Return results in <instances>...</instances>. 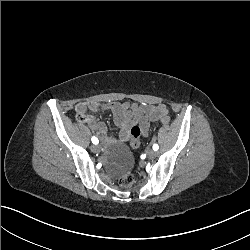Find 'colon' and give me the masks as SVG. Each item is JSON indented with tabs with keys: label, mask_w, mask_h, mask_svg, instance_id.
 <instances>
[{
	"label": "colon",
	"mask_w": 250,
	"mask_h": 250,
	"mask_svg": "<svg viewBox=\"0 0 250 250\" xmlns=\"http://www.w3.org/2000/svg\"><path fill=\"white\" fill-rule=\"evenodd\" d=\"M151 113L152 114H157L160 117V120L162 123H167L168 122V117H167V112L162 109V108H158V107H152L151 108ZM77 119L80 122H88L90 121V116L84 113H79L77 114ZM130 132H131V138H132V142H131V147L134 150H139L141 147V141H140V133H141V129L137 124H133L130 127ZM135 175L134 174H124L122 175V177L120 178V183H119V188L124 190L126 188L130 189L133 187L134 185V180H135Z\"/></svg>",
	"instance_id": "colon-1"
}]
</instances>
